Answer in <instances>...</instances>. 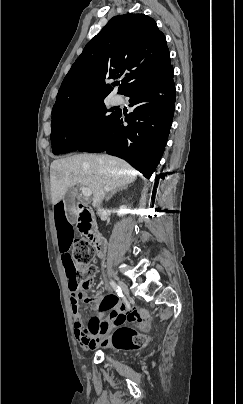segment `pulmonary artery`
<instances>
[{"instance_id":"e3ab8cb5","label":"pulmonary artery","mask_w":243,"mask_h":404,"mask_svg":"<svg viewBox=\"0 0 243 404\" xmlns=\"http://www.w3.org/2000/svg\"><path fill=\"white\" fill-rule=\"evenodd\" d=\"M113 99L115 104H121L123 102V96L120 94H115Z\"/></svg>"}]
</instances>
